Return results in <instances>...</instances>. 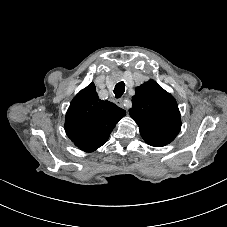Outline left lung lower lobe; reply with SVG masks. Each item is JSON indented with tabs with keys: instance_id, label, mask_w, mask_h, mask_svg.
<instances>
[{
	"instance_id": "obj_1",
	"label": "left lung lower lobe",
	"mask_w": 227,
	"mask_h": 227,
	"mask_svg": "<svg viewBox=\"0 0 227 227\" xmlns=\"http://www.w3.org/2000/svg\"><path fill=\"white\" fill-rule=\"evenodd\" d=\"M141 134V133H140ZM141 136L143 137V139L151 146H155V147H162L164 145H166V143L150 136V135H147V134H141Z\"/></svg>"
}]
</instances>
